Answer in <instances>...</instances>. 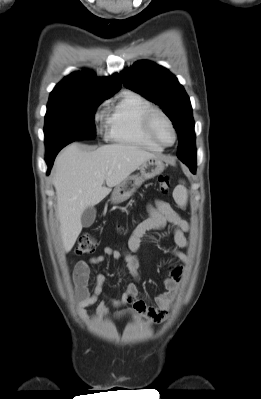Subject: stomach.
<instances>
[{
  "instance_id": "obj_1",
  "label": "stomach",
  "mask_w": 261,
  "mask_h": 399,
  "mask_svg": "<svg viewBox=\"0 0 261 399\" xmlns=\"http://www.w3.org/2000/svg\"><path fill=\"white\" fill-rule=\"evenodd\" d=\"M164 168V163L159 158H151L145 161L139 166V173L128 176L115 186L111 195L112 203L118 204L129 199L144 181L161 174Z\"/></svg>"
}]
</instances>
